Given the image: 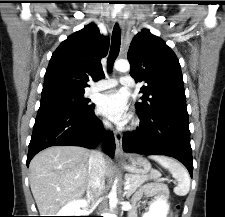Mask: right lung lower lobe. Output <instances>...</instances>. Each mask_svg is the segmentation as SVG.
I'll use <instances>...</instances> for the list:
<instances>
[{"label": "right lung lower lobe", "instance_id": "right-lung-lower-lobe-1", "mask_svg": "<svg viewBox=\"0 0 225 217\" xmlns=\"http://www.w3.org/2000/svg\"><path fill=\"white\" fill-rule=\"evenodd\" d=\"M95 107V105H94ZM94 107L78 111L64 107H40L29 144L26 164L41 150L54 145L95 148L104 139V152L114 155L115 140L111 132H104L101 121L94 115Z\"/></svg>", "mask_w": 225, "mask_h": 217}]
</instances>
